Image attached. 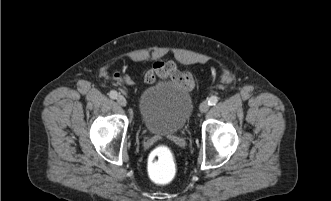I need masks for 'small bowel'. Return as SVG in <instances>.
I'll return each instance as SVG.
<instances>
[{
    "mask_svg": "<svg viewBox=\"0 0 331 201\" xmlns=\"http://www.w3.org/2000/svg\"><path fill=\"white\" fill-rule=\"evenodd\" d=\"M114 78L126 85L133 84V78L131 76L116 73L114 74ZM158 79L176 82L189 90L194 86V80L191 74L180 71L173 61L156 60L144 74V80L148 84H154Z\"/></svg>",
    "mask_w": 331,
    "mask_h": 201,
    "instance_id": "1",
    "label": "small bowel"
}]
</instances>
